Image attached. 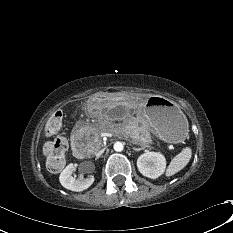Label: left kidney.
<instances>
[{
    "instance_id": "obj_1",
    "label": "left kidney",
    "mask_w": 233,
    "mask_h": 233,
    "mask_svg": "<svg viewBox=\"0 0 233 233\" xmlns=\"http://www.w3.org/2000/svg\"><path fill=\"white\" fill-rule=\"evenodd\" d=\"M137 167L141 174L148 178H158L161 176L166 168V159L164 155L158 152L146 151L139 156L137 160Z\"/></svg>"
}]
</instances>
